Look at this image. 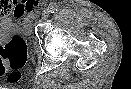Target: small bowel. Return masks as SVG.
I'll use <instances>...</instances> for the list:
<instances>
[{
  "label": "small bowel",
  "instance_id": "obj_1",
  "mask_svg": "<svg viewBox=\"0 0 131 89\" xmlns=\"http://www.w3.org/2000/svg\"><path fill=\"white\" fill-rule=\"evenodd\" d=\"M5 5L10 6V12H7L5 7L0 10V26L5 28L9 27L13 22L10 14H12L13 17L18 18L24 14L31 16L36 10L35 2L31 0L23 3L7 2L4 6Z\"/></svg>",
  "mask_w": 131,
  "mask_h": 89
}]
</instances>
